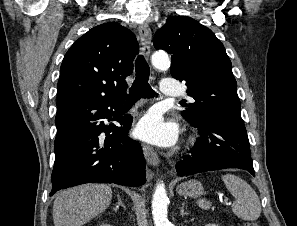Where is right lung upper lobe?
I'll return each mask as SVG.
<instances>
[{
	"label": "right lung upper lobe",
	"mask_w": 297,
	"mask_h": 226,
	"mask_svg": "<svg viewBox=\"0 0 297 226\" xmlns=\"http://www.w3.org/2000/svg\"><path fill=\"white\" fill-rule=\"evenodd\" d=\"M135 35L118 23L96 26L65 54L58 81L57 108L85 100H122L138 52Z\"/></svg>",
	"instance_id": "obj_1"
}]
</instances>
